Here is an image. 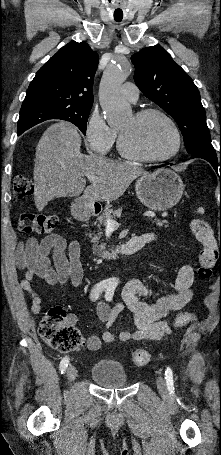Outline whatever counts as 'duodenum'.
I'll list each match as a JSON object with an SVG mask.
<instances>
[{
  "label": "duodenum",
  "instance_id": "obj_1",
  "mask_svg": "<svg viewBox=\"0 0 221 455\" xmlns=\"http://www.w3.org/2000/svg\"><path fill=\"white\" fill-rule=\"evenodd\" d=\"M101 208L97 205H89L86 201H83L75 207V215L78 219H86L88 217H94L99 214ZM145 246V242L139 237H133L129 241L121 243L117 247L108 250L102 254L104 259H113L119 254L131 255L138 252Z\"/></svg>",
  "mask_w": 221,
  "mask_h": 455
}]
</instances>
